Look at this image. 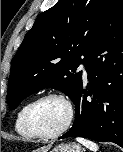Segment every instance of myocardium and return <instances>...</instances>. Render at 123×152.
I'll use <instances>...</instances> for the list:
<instances>
[{
    "mask_svg": "<svg viewBox=\"0 0 123 152\" xmlns=\"http://www.w3.org/2000/svg\"><path fill=\"white\" fill-rule=\"evenodd\" d=\"M47 99H58L61 100L67 107L68 110V116H67V120L65 122V124L56 132L53 133H43L38 131L35 126L33 125L32 122V115L34 112V109L36 108V106L41 103L44 100ZM74 116H75V110H74V106L72 101L69 99V97H67L65 94L60 93V92H48L45 93L41 96H39L38 98H36L35 100H33L25 113V125L27 127V129L35 136L41 139H54L57 138L61 135H63L71 126L73 120H74Z\"/></svg>",
    "mask_w": 123,
    "mask_h": 152,
    "instance_id": "obj_1",
    "label": "myocardium"
}]
</instances>
